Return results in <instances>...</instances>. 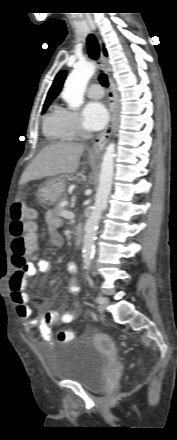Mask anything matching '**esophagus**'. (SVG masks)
Here are the masks:
<instances>
[{
    "instance_id": "1",
    "label": "esophagus",
    "mask_w": 177,
    "mask_h": 440,
    "mask_svg": "<svg viewBox=\"0 0 177 440\" xmlns=\"http://www.w3.org/2000/svg\"><path fill=\"white\" fill-rule=\"evenodd\" d=\"M101 60L103 64V68L106 72L109 71V63L107 58L101 53ZM109 110H110V119L108 122V125L106 129L98 136L91 148V153L93 154H99L104 149L105 145L107 144L108 140L111 137V134L113 132V128L115 125V119H116V101H115V94L113 91V87L110 86L109 92Z\"/></svg>"
}]
</instances>
